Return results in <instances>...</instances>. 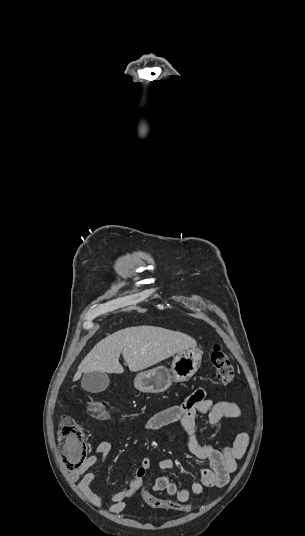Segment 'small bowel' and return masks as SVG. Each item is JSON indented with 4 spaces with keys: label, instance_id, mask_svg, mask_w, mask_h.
<instances>
[{
    "label": "small bowel",
    "instance_id": "obj_1",
    "mask_svg": "<svg viewBox=\"0 0 305 536\" xmlns=\"http://www.w3.org/2000/svg\"><path fill=\"white\" fill-rule=\"evenodd\" d=\"M199 414H207L208 422L212 426H218L223 418L240 417L241 410L234 402L215 403L207 397L204 388H197L182 403L160 410L145 424V429L148 431H156L173 423L182 425L188 450L209 465V469L201 470L199 479L191 485V493L196 496L201 495L204 488H221L229 482L231 474L236 469V461L244 455L249 442L248 434L240 432L235 436L232 444L224 445L220 449L200 444L195 435L196 418ZM111 448V444L107 441L98 443L85 457L82 464L71 472L70 478L73 481L80 479L79 489L93 503L109 505L111 513L119 514L125 509L126 500L136 492H140L141 488L146 487L145 476L151 466V460L148 457L142 458L127 484L110 498H105L90 489L97 475L89 469L103 461L110 454ZM175 467L176 461L171 458L159 461L161 470H171ZM152 491L179 495L181 500L190 499L189 490L179 487L167 476L157 478L152 485Z\"/></svg>",
    "mask_w": 305,
    "mask_h": 536
}]
</instances>
